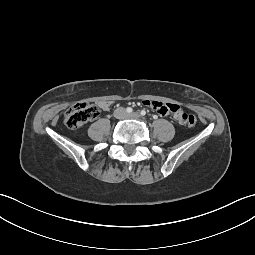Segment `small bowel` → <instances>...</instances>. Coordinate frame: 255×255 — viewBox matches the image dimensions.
Returning a JSON list of instances; mask_svg holds the SVG:
<instances>
[{
	"label": "small bowel",
	"mask_w": 255,
	"mask_h": 255,
	"mask_svg": "<svg viewBox=\"0 0 255 255\" xmlns=\"http://www.w3.org/2000/svg\"><path fill=\"white\" fill-rule=\"evenodd\" d=\"M144 105L158 112L160 115H169L170 120L175 121L178 125H185L188 122V115L183 111L180 105L164 103L156 100H145ZM112 102L103 100L99 102V107L108 111Z\"/></svg>",
	"instance_id": "obj_1"
}]
</instances>
